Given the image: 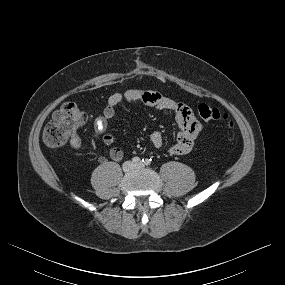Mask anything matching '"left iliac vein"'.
<instances>
[{"label":"left iliac vein","instance_id":"obj_1","mask_svg":"<svg viewBox=\"0 0 285 285\" xmlns=\"http://www.w3.org/2000/svg\"><path fill=\"white\" fill-rule=\"evenodd\" d=\"M134 167L135 168H143L144 165H143V163H138V164H135Z\"/></svg>","mask_w":285,"mask_h":285}]
</instances>
